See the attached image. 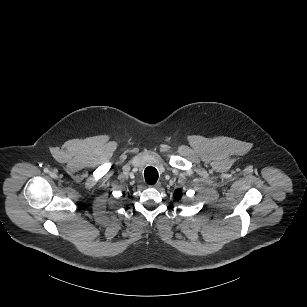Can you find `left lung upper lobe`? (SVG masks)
I'll use <instances>...</instances> for the list:
<instances>
[{"mask_svg":"<svg viewBox=\"0 0 307 307\" xmlns=\"http://www.w3.org/2000/svg\"><path fill=\"white\" fill-rule=\"evenodd\" d=\"M181 197H182V192H181L180 190H176V191L174 192V198H175L176 200H180Z\"/></svg>","mask_w":307,"mask_h":307,"instance_id":"left-lung-upper-lobe-1","label":"left lung upper lobe"}]
</instances>
